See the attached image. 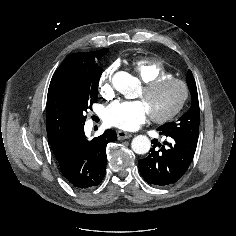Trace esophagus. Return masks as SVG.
<instances>
[{
  "instance_id": "34e87169",
  "label": "esophagus",
  "mask_w": 236,
  "mask_h": 236,
  "mask_svg": "<svg viewBox=\"0 0 236 236\" xmlns=\"http://www.w3.org/2000/svg\"><path fill=\"white\" fill-rule=\"evenodd\" d=\"M117 137L119 140H123V139H128V138L132 137V134L129 132L122 131V130H118Z\"/></svg>"
}]
</instances>
